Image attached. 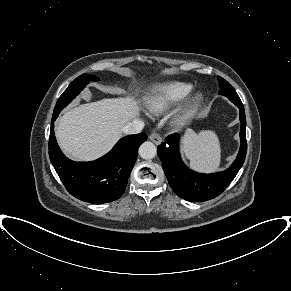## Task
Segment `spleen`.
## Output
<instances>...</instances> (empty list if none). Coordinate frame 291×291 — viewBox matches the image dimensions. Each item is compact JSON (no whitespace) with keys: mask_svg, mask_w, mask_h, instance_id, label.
Segmentation results:
<instances>
[{"mask_svg":"<svg viewBox=\"0 0 291 291\" xmlns=\"http://www.w3.org/2000/svg\"><path fill=\"white\" fill-rule=\"evenodd\" d=\"M183 146L184 153L194 169L202 172H212L218 169L221 147L219 139L213 131H203L200 134L188 131Z\"/></svg>","mask_w":291,"mask_h":291,"instance_id":"obj_1","label":"spleen"}]
</instances>
